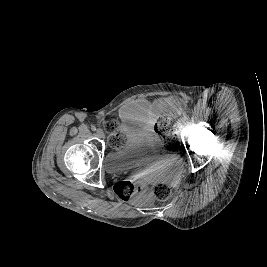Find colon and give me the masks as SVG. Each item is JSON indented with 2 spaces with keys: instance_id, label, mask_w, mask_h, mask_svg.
<instances>
[{
  "instance_id": "colon-1",
  "label": "colon",
  "mask_w": 267,
  "mask_h": 267,
  "mask_svg": "<svg viewBox=\"0 0 267 267\" xmlns=\"http://www.w3.org/2000/svg\"><path fill=\"white\" fill-rule=\"evenodd\" d=\"M102 128L108 135L109 146L113 149L121 148L125 142V134L122 127L116 119H107L102 122ZM155 131L162 135L165 145L169 149H176L179 146L176 134V124L169 115H164L155 124ZM147 190V185L143 182H132L123 180L116 184V194L125 201H131L143 194ZM153 195L158 200H166L171 189L168 185L157 182L153 186Z\"/></svg>"
}]
</instances>
